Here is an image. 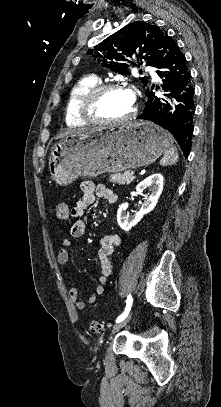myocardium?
I'll list each match as a JSON object with an SVG mask.
<instances>
[{
  "label": "myocardium",
  "mask_w": 221,
  "mask_h": 407,
  "mask_svg": "<svg viewBox=\"0 0 221 407\" xmlns=\"http://www.w3.org/2000/svg\"><path fill=\"white\" fill-rule=\"evenodd\" d=\"M125 90V88L117 83H106L100 84L94 89H92L81 101L80 103V110L82 113L83 118L87 122L97 123V124H119L126 122L133 118L138 111V106L136 103V98H134V106L130 113L116 119H108L101 116L98 111L97 107L103 98V96L113 90Z\"/></svg>",
  "instance_id": "f54148a6"
}]
</instances>
